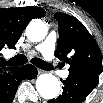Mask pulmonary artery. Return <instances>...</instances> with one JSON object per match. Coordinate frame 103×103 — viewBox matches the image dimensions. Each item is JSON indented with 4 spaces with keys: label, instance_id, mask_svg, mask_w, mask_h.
I'll return each mask as SVG.
<instances>
[{
    "label": "pulmonary artery",
    "instance_id": "pulmonary-artery-1",
    "mask_svg": "<svg viewBox=\"0 0 103 103\" xmlns=\"http://www.w3.org/2000/svg\"><path fill=\"white\" fill-rule=\"evenodd\" d=\"M57 35L54 31L50 32L46 39L36 46V50L40 51L44 58L48 61V64L53 68L51 61L53 60L55 45H56ZM57 73L63 78L68 77V70L57 71Z\"/></svg>",
    "mask_w": 103,
    "mask_h": 103
}]
</instances>
